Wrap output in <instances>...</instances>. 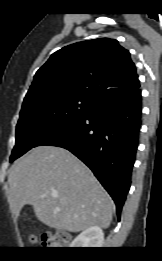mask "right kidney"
<instances>
[{
  "label": "right kidney",
  "mask_w": 162,
  "mask_h": 261,
  "mask_svg": "<svg viewBox=\"0 0 162 261\" xmlns=\"http://www.w3.org/2000/svg\"><path fill=\"white\" fill-rule=\"evenodd\" d=\"M104 233L99 226H91L79 234L70 244L71 248H100Z\"/></svg>",
  "instance_id": "right-kidney-1"
}]
</instances>
